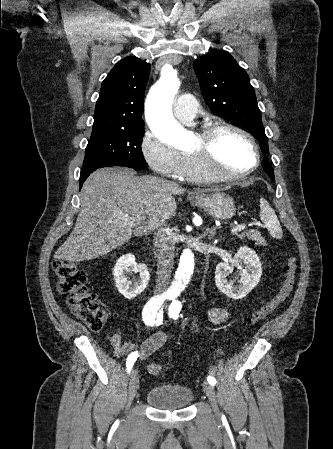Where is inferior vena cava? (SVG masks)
Masks as SVG:
<instances>
[{
    "mask_svg": "<svg viewBox=\"0 0 333 449\" xmlns=\"http://www.w3.org/2000/svg\"><path fill=\"white\" fill-rule=\"evenodd\" d=\"M154 246L157 251V279L155 293L166 291L174 265L175 241L172 229L164 223L157 224L154 233Z\"/></svg>",
    "mask_w": 333,
    "mask_h": 449,
    "instance_id": "obj_1",
    "label": "inferior vena cava"
}]
</instances>
